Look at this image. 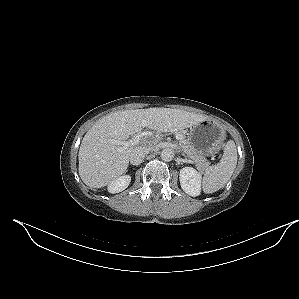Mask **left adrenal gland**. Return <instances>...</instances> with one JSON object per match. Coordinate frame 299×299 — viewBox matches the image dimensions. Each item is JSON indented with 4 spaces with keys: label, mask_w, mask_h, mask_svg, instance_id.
Wrapping results in <instances>:
<instances>
[{
    "label": "left adrenal gland",
    "mask_w": 299,
    "mask_h": 299,
    "mask_svg": "<svg viewBox=\"0 0 299 299\" xmlns=\"http://www.w3.org/2000/svg\"><path fill=\"white\" fill-rule=\"evenodd\" d=\"M182 155H183L184 157H186V155H185L184 153H182Z\"/></svg>",
    "instance_id": "1"
}]
</instances>
